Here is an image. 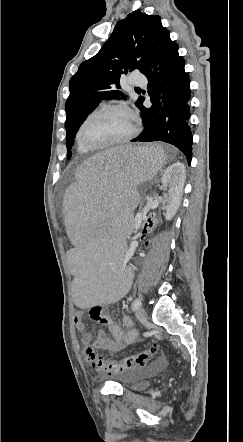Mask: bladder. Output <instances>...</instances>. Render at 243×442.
Instances as JSON below:
<instances>
[{
  "instance_id": "31cf9c89",
  "label": "bladder",
  "mask_w": 243,
  "mask_h": 442,
  "mask_svg": "<svg viewBox=\"0 0 243 442\" xmlns=\"http://www.w3.org/2000/svg\"><path fill=\"white\" fill-rule=\"evenodd\" d=\"M156 369V367H152L137 370L129 375L123 383L131 390L143 391L149 387L148 378Z\"/></svg>"
}]
</instances>
